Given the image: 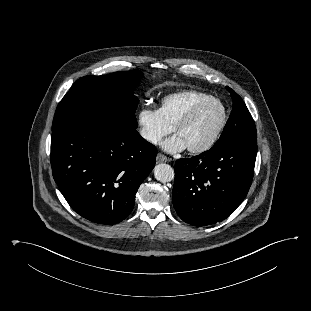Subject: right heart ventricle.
<instances>
[{
	"instance_id": "obj_1",
	"label": "right heart ventricle",
	"mask_w": 311,
	"mask_h": 311,
	"mask_svg": "<svg viewBox=\"0 0 311 311\" xmlns=\"http://www.w3.org/2000/svg\"><path fill=\"white\" fill-rule=\"evenodd\" d=\"M212 97L198 91H182L162 99L159 109L165 121L173 128L185 113L198 102Z\"/></svg>"
}]
</instances>
